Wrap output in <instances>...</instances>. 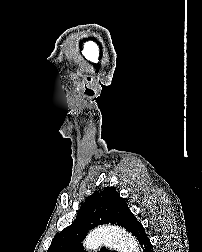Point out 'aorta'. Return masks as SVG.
Wrapping results in <instances>:
<instances>
[{
    "label": "aorta",
    "mask_w": 202,
    "mask_h": 252,
    "mask_svg": "<svg viewBox=\"0 0 202 252\" xmlns=\"http://www.w3.org/2000/svg\"><path fill=\"white\" fill-rule=\"evenodd\" d=\"M101 244L117 249L118 252H140L137 240L126 230L108 226L90 233L85 241L87 250H94Z\"/></svg>",
    "instance_id": "aorta-1"
}]
</instances>
